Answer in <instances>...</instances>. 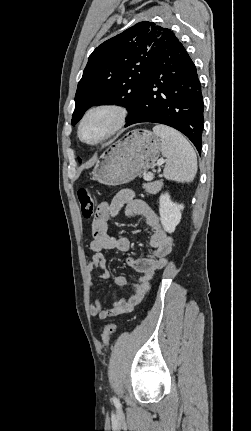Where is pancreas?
<instances>
[{
	"label": "pancreas",
	"mask_w": 251,
	"mask_h": 431,
	"mask_svg": "<svg viewBox=\"0 0 251 431\" xmlns=\"http://www.w3.org/2000/svg\"><path fill=\"white\" fill-rule=\"evenodd\" d=\"M161 183L159 181L144 183L143 189L146 190L149 194H156L160 191Z\"/></svg>",
	"instance_id": "1"
}]
</instances>
